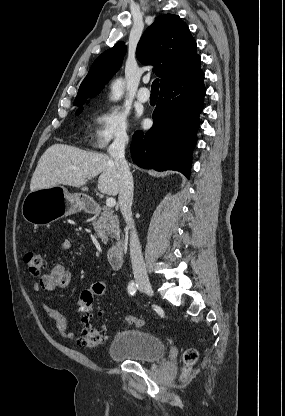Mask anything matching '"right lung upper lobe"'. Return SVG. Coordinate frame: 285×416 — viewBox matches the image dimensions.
I'll use <instances>...</instances> for the list:
<instances>
[{
	"label": "right lung upper lobe",
	"mask_w": 285,
	"mask_h": 416,
	"mask_svg": "<svg viewBox=\"0 0 285 416\" xmlns=\"http://www.w3.org/2000/svg\"><path fill=\"white\" fill-rule=\"evenodd\" d=\"M125 51L124 42H118L94 61L80 85L74 106L82 107L88 98L102 90L103 85L120 68ZM136 55L142 63L156 66L154 71L161 78V89L201 72L196 41L188 26L177 15L156 17L143 33Z\"/></svg>",
	"instance_id": "1"
}]
</instances>
